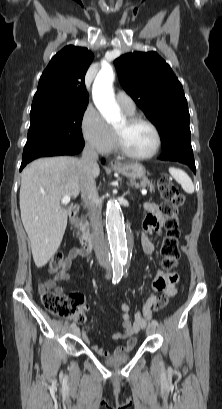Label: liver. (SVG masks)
<instances>
[{
    "instance_id": "1",
    "label": "liver",
    "mask_w": 222,
    "mask_h": 409,
    "mask_svg": "<svg viewBox=\"0 0 222 409\" xmlns=\"http://www.w3.org/2000/svg\"><path fill=\"white\" fill-rule=\"evenodd\" d=\"M79 161L67 156L39 158L21 174V220L38 268L47 264L62 242L70 208L62 207L60 202L65 195L74 199L81 192ZM99 173L97 165L94 178Z\"/></svg>"
}]
</instances>
